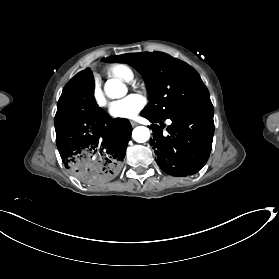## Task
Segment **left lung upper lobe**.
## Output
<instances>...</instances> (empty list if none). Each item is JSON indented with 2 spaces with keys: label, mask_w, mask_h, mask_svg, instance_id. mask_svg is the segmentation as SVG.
<instances>
[{
  "label": "left lung upper lobe",
  "mask_w": 279,
  "mask_h": 279,
  "mask_svg": "<svg viewBox=\"0 0 279 279\" xmlns=\"http://www.w3.org/2000/svg\"><path fill=\"white\" fill-rule=\"evenodd\" d=\"M102 60L127 63L142 75L150 99L142 113L160 120L210 102L199 74L165 53H129Z\"/></svg>",
  "instance_id": "obj_1"
}]
</instances>
